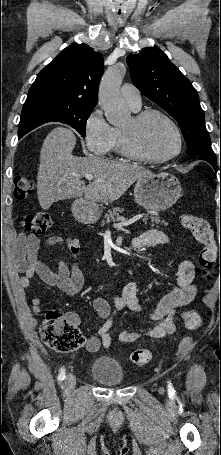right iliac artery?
I'll return each instance as SVG.
<instances>
[{
  "label": "right iliac artery",
  "mask_w": 221,
  "mask_h": 455,
  "mask_svg": "<svg viewBox=\"0 0 221 455\" xmlns=\"http://www.w3.org/2000/svg\"><path fill=\"white\" fill-rule=\"evenodd\" d=\"M66 375H65V368L64 367H61L60 371H59V374H58V381L61 382L65 379Z\"/></svg>",
  "instance_id": "1"
}]
</instances>
